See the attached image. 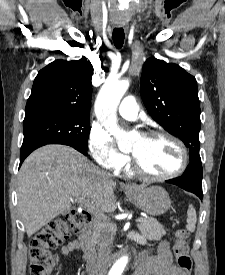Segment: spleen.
Wrapping results in <instances>:
<instances>
[{
  "mask_svg": "<svg viewBox=\"0 0 225 275\" xmlns=\"http://www.w3.org/2000/svg\"><path fill=\"white\" fill-rule=\"evenodd\" d=\"M196 222H197V215H196V210L192 205H189L188 211H187V230L190 232L195 231L196 227Z\"/></svg>",
  "mask_w": 225,
  "mask_h": 275,
  "instance_id": "1",
  "label": "spleen"
}]
</instances>
